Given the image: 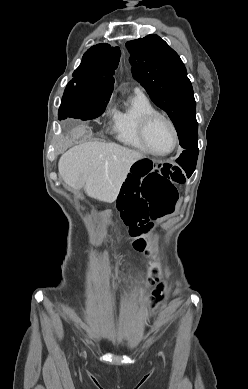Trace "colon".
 Instances as JSON below:
<instances>
[{"instance_id": "obj_1", "label": "colon", "mask_w": 248, "mask_h": 389, "mask_svg": "<svg viewBox=\"0 0 248 389\" xmlns=\"http://www.w3.org/2000/svg\"><path fill=\"white\" fill-rule=\"evenodd\" d=\"M184 180L182 170L172 161H152L151 157H140L131 167L116 200L122 211L121 217L131 216L128 223L137 251L146 250L140 236L150 229L152 221L174 211L178 199L177 185L183 184Z\"/></svg>"}]
</instances>
